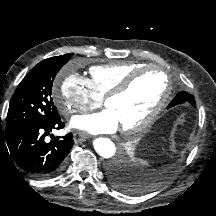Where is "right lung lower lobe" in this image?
<instances>
[{"mask_svg": "<svg viewBox=\"0 0 216 216\" xmlns=\"http://www.w3.org/2000/svg\"><path fill=\"white\" fill-rule=\"evenodd\" d=\"M63 127L60 116L51 121L20 125L1 131L0 142L21 169L37 178H51L63 170L74 140L72 133L63 137L51 135L50 142L45 141V136Z\"/></svg>", "mask_w": 216, "mask_h": 216, "instance_id": "1", "label": "right lung lower lobe"}]
</instances>
